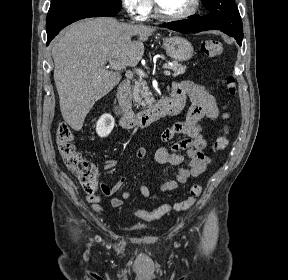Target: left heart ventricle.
<instances>
[{"label":"left heart ventricle","mask_w":288,"mask_h":280,"mask_svg":"<svg viewBox=\"0 0 288 280\" xmlns=\"http://www.w3.org/2000/svg\"><path fill=\"white\" fill-rule=\"evenodd\" d=\"M163 12L177 15L186 12L192 7L193 0H156Z\"/></svg>","instance_id":"obj_1"}]
</instances>
